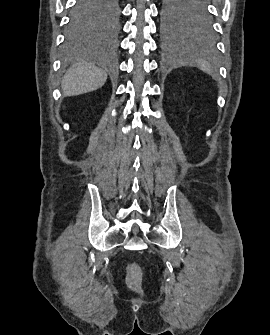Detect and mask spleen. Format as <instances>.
<instances>
[{"mask_svg":"<svg viewBox=\"0 0 270 335\" xmlns=\"http://www.w3.org/2000/svg\"><path fill=\"white\" fill-rule=\"evenodd\" d=\"M180 62H193V64H196L203 72H207V74H212L213 72L209 62H206L205 58H202L198 50H196V46L194 48V46H190V44H183Z\"/></svg>","mask_w":270,"mask_h":335,"instance_id":"1","label":"spleen"}]
</instances>
